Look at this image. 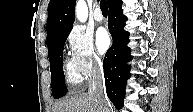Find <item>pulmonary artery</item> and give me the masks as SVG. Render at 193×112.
<instances>
[{"instance_id": "obj_1", "label": "pulmonary artery", "mask_w": 193, "mask_h": 112, "mask_svg": "<svg viewBox=\"0 0 193 112\" xmlns=\"http://www.w3.org/2000/svg\"><path fill=\"white\" fill-rule=\"evenodd\" d=\"M103 14L101 13V11L99 9H96L94 11V19L98 22H101L103 20Z\"/></svg>"}]
</instances>
